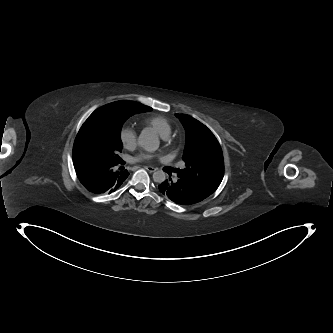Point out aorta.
<instances>
[{
    "label": "aorta",
    "mask_w": 333,
    "mask_h": 333,
    "mask_svg": "<svg viewBox=\"0 0 333 333\" xmlns=\"http://www.w3.org/2000/svg\"><path fill=\"white\" fill-rule=\"evenodd\" d=\"M138 144L140 147L145 149L146 151H155L158 149L160 141L158 135L149 130H144L141 132L138 138ZM153 180L157 183H162L166 180V174L162 170L155 171L153 173Z\"/></svg>",
    "instance_id": "obj_1"
}]
</instances>
